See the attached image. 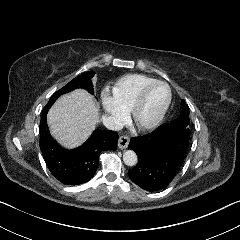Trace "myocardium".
<instances>
[{
	"mask_svg": "<svg viewBox=\"0 0 240 240\" xmlns=\"http://www.w3.org/2000/svg\"><path fill=\"white\" fill-rule=\"evenodd\" d=\"M155 86H164L166 88V98L155 115L145 121H142L140 119V113L144 107L147 96ZM171 97V90L167 83L162 81H154L153 83L143 88L132 107L126 111V122L130 123L133 126L134 130L138 132H146L154 129L163 120L169 108Z\"/></svg>",
	"mask_w": 240,
	"mask_h": 240,
	"instance_id": "f54148a6",
	"label": "myocardium"
}]
</instances>
